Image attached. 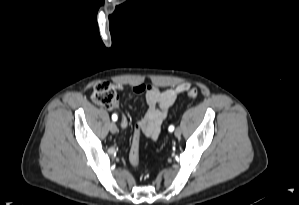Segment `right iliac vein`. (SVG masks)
Instances as JSON below:
<instances>
[{"label": "right iliac vein", "mask_w": 299, "mask_h": 205, "mask_svg": "<svg viewBox=\"0 0 299 205\" xmlns=\"http://www.w3.org/2000/svg\"><path fill=\"white\" fill-rule=\"evenodd\" d=\"M109 129H110V131H111L112 134H115L118 131V128H117V125H116L115 122H111L110 123Z\"/></svg>", "instance_id": "63e3f726"}]
</instances>
